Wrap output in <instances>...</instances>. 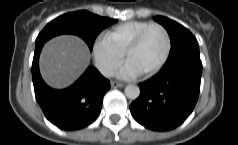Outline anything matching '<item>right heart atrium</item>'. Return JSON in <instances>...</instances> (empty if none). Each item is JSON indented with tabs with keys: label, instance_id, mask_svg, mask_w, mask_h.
Instances as JSON below:
<instances>
[{
	"label": "right heart atrium",
	"instance_id": "1",
	"mask_svg": "<svg viewBox=\"0 0 238 145\" xmlns=\"http://www.w3.org/2000/svg\"><path fill=\"white\" fill-rule=\"evenodd\" d=\"M95 66L104 76H111L123 60V53L111 45L104 37L98 36L92 45Z\"/></svg>",
	"mask_w": 238,
	"mask_h": 145
}]
</instances>
